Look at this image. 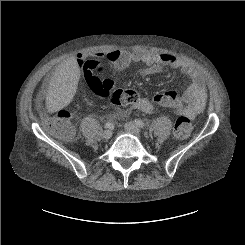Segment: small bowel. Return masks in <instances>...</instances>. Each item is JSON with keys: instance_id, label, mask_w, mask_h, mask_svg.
I'll list each match as a JSON object with an SVG mask.
<instances>
[{"instance_id": "1", "label": "small bowel", "mask_w": 245, "mask_h": 245, "mask_svg": "<svg viewBox=\"0 0 245 245\" xmlns=\"http://www.w3.org/2000/svg\"><path fill=\"white\" fill-rule=\"evenodd\" d=\"M95 57L106 58L112 63L115 70L121 71L132 63H142L146 68L142 71V75H154L159 73L164 67L173 69H181L183 73L190 79L191 83L182 94V101L185 103L183 110L176 111L179 115H185L189 118L197 117L204 109L207 99L206 89L199 72L187 62L180 60L177 56L168 53H150L144 51H128V50H111L108 52L98 51L94 53ZM78 63L75 58H67L59 65L56 71L65 74L67 71L75 70ZM89 77V81L92 77ZM110 89L113 83L110 80L103 81ZM90 84V83H89ZM131 107L144 113H153L157 107L152 100L139 96L132 103ZM116 115H121L122 111H116Z\"/></svg>"}]
</instances>
